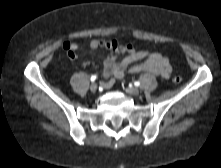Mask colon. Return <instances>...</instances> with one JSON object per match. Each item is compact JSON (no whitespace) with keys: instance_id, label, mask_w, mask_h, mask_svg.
I'll use <instances>...</instances> for the list:
<instances>
[{"instance_id":"5ec220e1","label":"colon","mask_w":221,"mask_h":168,"mask_svg":"<svg viewBox=\"0 0 221 168\" xmlns=\"http://www.w3.org/2000/svg\"><path fill=\"white\" fill-rule=\"evenodd\" d=\"M172 81L176 84L180 83L182 81V78L180 76H174L172 78Z\"/></svg>"}]
</instances>
